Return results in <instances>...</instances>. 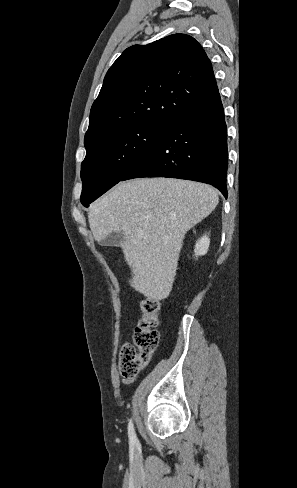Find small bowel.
<instances>
[{
	"mask_svg": "<svg viewBox=\"0 0 297 488\" xmlns=\"http://www.w3.org/2000/svg\"><path fill=\"white\" fill-rule=\"evenodd\" d=\"M134 380H135L134 378H124V379H123V383H124L125 385H129V384L133 383V382H134Z\"/></svg>",
	"mask_w": 297,
	"mask_h": 488,
	"instance_id": "obj_1",
	"label": "small bowel"
}]
</instances>
